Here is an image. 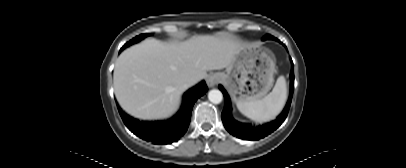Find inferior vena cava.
Here are the masks:
<instances>
[{
    "instance_id": "obj_1",
    "label": "inferior vena cava",
    "mask_w": 406,
    "mask_h": 168,
    "mask_svg": "<svg viewBox=\"0 0 406 168\" xmlns=\"http://www.w3.org/2000/svg\"><path fill=\"white\" fill-rule=\"evenodd\" d=\"M197 81L196 77H189L186 79V85L190 86L192 84H194Z\"/></svg>"
}]
</instances>
